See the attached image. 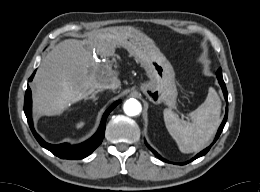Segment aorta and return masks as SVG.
Here are the masks:
<instances>
[{"label": "aorta", "instance_id": "obj_1", "mask_svg": "<svg viewBox=\"0 0 260 192\" xmlns=\"http://www.w3.org/2000/svg\"><path fill=\"white\" fill-rule=\"evenodd\" d=\"M123 110L128 116H137L141 113L142 106L138 100L131 98L124 103Z\"/></svg>", "mask_w": 260, "mask_h": 192}]
</instances>
